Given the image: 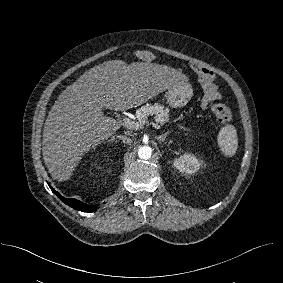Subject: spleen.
<instances>
[{
    "label": "spleen",
    "mask_w": 283,
    "mask_h": 283,
    "mask_svg": "<svg viewBox=\"0 0 283 283\" xmlns=\"http://www.w3.org/2000/svg\"><path fill=\"white\" fill-rule=\"evenodd\" d=\"M217 141L220 150L226 156H233L238 148L237 131L235 127L231 124L222 127L218 134Z\"/></svg>",
    "instance_id": "spleen-1"
}]
</instances>
